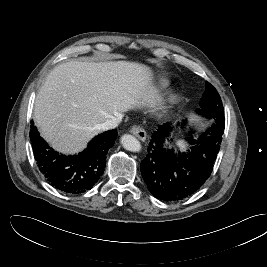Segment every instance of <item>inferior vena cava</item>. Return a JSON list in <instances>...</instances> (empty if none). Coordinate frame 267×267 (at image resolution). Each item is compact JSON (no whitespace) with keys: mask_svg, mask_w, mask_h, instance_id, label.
<instances>
[{"mask_svg":"<svg viewBox=\"0 0 267 267\" xmlns=\"http://www.w3.org/2000/svg\"><path fill=\"white\" fill-rule=\"evenodd\" d=\"M120 120H121V116L107 119L104 123L99 125V129L103 131L114 129L118 126Z\"/></svg>","mask_w":267,"mask_h":267,"instance_id":"inferior-vena-cava-1","label":"inferior vena cava"}]
</instances>
